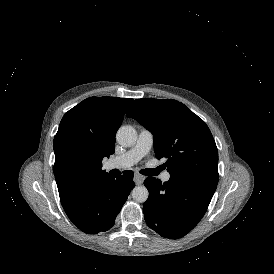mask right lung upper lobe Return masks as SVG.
Returning a JSON list of instances; mask_svg holds the SVG:
<instances>
[{"label":"right lung upper lobe","mask_w":274,"mask_h":274,"mask_svg":"<svg viewBox=\"0 0 274 274\" xmlns=\"http://www.w3.org/2000/svg\"><path fill=\"white\" fill-rule=\"evenodd\" d=\"M133 99L90 97L69 110L54 137V175L61 202L106 174L102 160L115 151V136Z\"/></svg>","instance_id":"obj_1"}]
</instances>
